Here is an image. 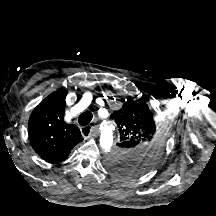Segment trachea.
Here are the masks:
<instances>
[{
    "instance_id": "3493384b",
    "label": "trachea",
    "mask_w": 216,
    "mask_h": 216,
    "mask_svg": "<svg viewBox=\"0 0 216 216\" xmlns=\"http://www.w3.org/2000/svg\"><path fill=\"white\" fill-rule=\"evenodd\" d=\"M93 118V115L91 112H84L78 117V122L82 126L88 125Z\"/></svg>"
}]
</instances>
